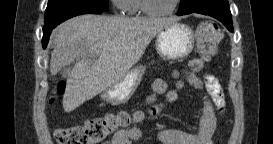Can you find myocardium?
I'll return each instance as SVG.
<instances>
[{"label":"myocardium","mask_w":273,"mask_h":144,"mask_svg":"<svg viewBox=\"0 0 273 144\" xmlns=\"http://www.w3.org/2000/svg\"><path fill=\"white\" fill-rule=\"evenodd\" d=\"M179 3H180V0H174L172 6L169 9L155 10L149 6V0H141L140 8L145 14L150 16H166L173 13L178 7Z\"/></svg>","instance_id":"f54148a6"}]
</instances>
